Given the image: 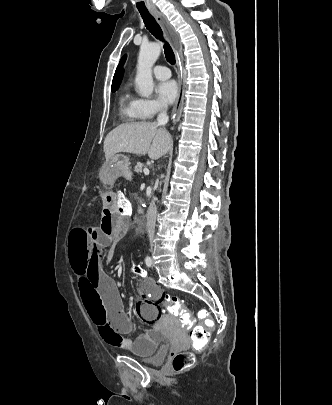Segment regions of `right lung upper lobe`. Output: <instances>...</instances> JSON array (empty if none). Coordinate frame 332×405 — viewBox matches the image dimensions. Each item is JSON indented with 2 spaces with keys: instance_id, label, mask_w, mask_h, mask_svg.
Masks as SVG:
<instances>
[{
  "instance_id": "right-lung-upper-lobe-1",
  "label": "right lung upper lobe",
  "mask_w": 332,
  "mask_h": 405,
  "mask_svg": "<svg viewBox=\"0 0 332 405\" xmlns=\"http://www.w3.org/2000/svg\"><path fill=\"white\" fill-rule=\"evenodd\" d=\"M125 59H126V56H124L121 59L119 65H118V67H117V69L115 71V75H114L113 81H112V87L116 86V85H119L120 82H121V79H122V76H123V68H122V66H123V64L125 62Z\"/></svg>"
}]
</instances>
